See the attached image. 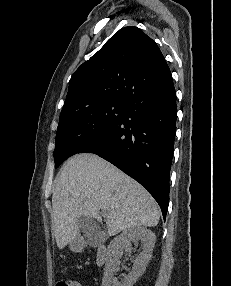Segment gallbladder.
<instances>
[{"label": "gallbladder", "instance_id": "1", "mask_svg": "<svg viewBox=\"0 0 231 286\" xmlns=\"http://www.w3.org/2000/svg\"><path fill=\"white\" fill-rule=\"evenodd\" d=\"M79 215L80 216L77 218V225L85 232V234H97L99 232L97 222H95V219L92 216H88L87 214Z\"/></svg>", "mask_w": 231, "mask_h": 286}]
</instances>
